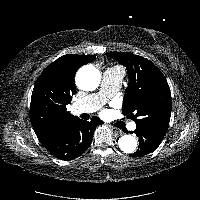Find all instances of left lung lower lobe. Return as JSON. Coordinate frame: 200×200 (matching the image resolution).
<instances>
[{
    "label": "left lung lower lobe",
    "mask_w": 200,
    "mask_h": 200,
    "mask_svg": "<svg viewBox=\"0 0 200 200\" xmlns=\"http://www.w3.org/2000/svg\"><path fill=\"white\" fill-rule=\"evenodd\" d=\"M134 133L139 138V148L130 156L141 157L154 151L161 143L164 134L146 126L136 127Z\"/></svg>",
    "instance_id": "0a47b994"
}]
</instances>
